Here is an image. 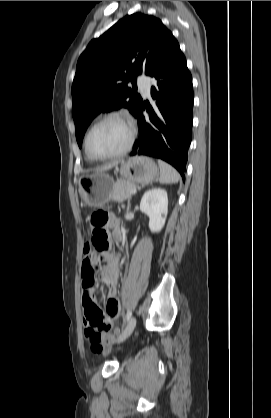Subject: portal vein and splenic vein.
I'll list each match as a JSON object with an SVG mask.
<instances>
[{
    "instance_id": "18ae733b",
    "label": "portal vein and splenic vein",
    "mask_w": 271,
    "mask_h": 418,
    "mask_svg": "<svg viewBox=\"0 0 271 418\" xmlns=\"http://www.w3.org/2000/svg\"><path fill=\"white\" fill-rule=\"evenodd\" d=\"M137 192L136 188L132 189L130 193L135 194Z\"/></svg>"
}]
</instances>
